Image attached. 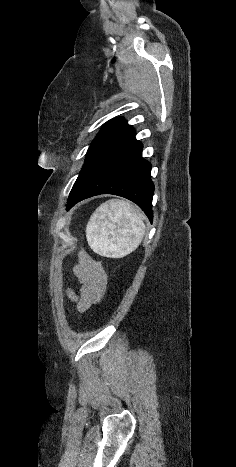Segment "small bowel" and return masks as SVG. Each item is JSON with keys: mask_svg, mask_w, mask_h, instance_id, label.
I'll return each instance as SVG.
<instances>
[{"mask_svg": "<svg viewBox=\"0 0 236 467\" xmlns=\"http://www.w3.org/2000/svg\"><path fill=\"white\" fill-rule=\"evenodd\" d=\"M73 274L80 283L79 292L67 287L66 294L76 304L77 310L85 313L101 301L106 290L107 274L100 262L84 252L80 253L79 262L73 267Z\"/></svg>", "mask_w": 236, "mask_h": 467, "instance_id": "1", "label": "small bowel"}]
</instances>
